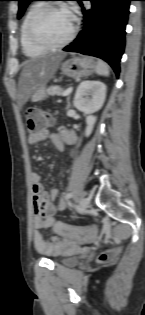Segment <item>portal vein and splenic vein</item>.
I'll use <instances>...</instances> for the list:
<instances>
[{
    "label": "portal vein and splenic vein",
    "mask_w": 145,
    "mask_h": 315,
    "mask_svg": "<svg viewBox=\"0 0 145 315\" xmlns=\"http://www.w3.org/2000/svg\"><path fill=\"white\" fill-rule=\"evenodd\" d=\"M72 90H73V88L72 87H70V88H68V89H66L64 92H63V96H67V95H69L71 92H72Z\"/></svg>",
    "instance_id": "18ae733b"
}]
</instances>
